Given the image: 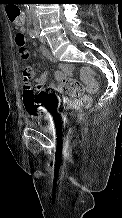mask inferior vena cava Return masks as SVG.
Masks as SVG:
<instances>
[{"label": "inferior vena cava", "mask_w": 122, "mask_h": 218, "mask_svg": "<svg viewBox=\"0 0 122 218\" xmlns=\"http://www.w3.org/2000/svg\"><path fill=\"white\" fill-rule=\"evenodd\" d=\"M33 25L35 28H38V18L36 15H33Z\"/></svg>", "instance_id": "obj_1"}]
</instances>
